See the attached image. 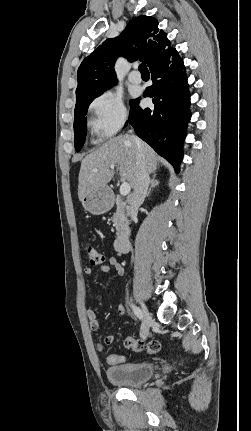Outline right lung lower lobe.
<instances>
[{
	"mask_svg": "<svg viewBox=\"0 0 251 431\" xmlns=\"http://www.w3.org/2000/svg\"><path fill=\"white\" fill-rule=\"evenodd\" d=\"M183 61L174 49L164 63L153 66V85L144 97L152 98L153 108L139 107V98L130 101L129 123L136 134L179 172L183 141L190 120V93Z\"/></svg>",
	"mask_w": 251,
	"mask_h": 431,
	"instance_id": "right-lung-lower-lobe-1",
	"label": "right lung lower lobe"
}]
</instances>
